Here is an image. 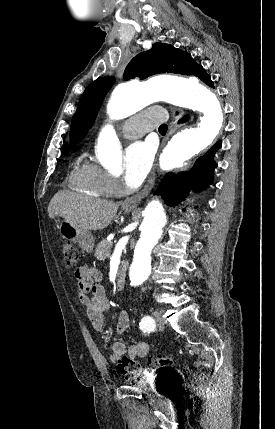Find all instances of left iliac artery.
Returning <instances> with one entry per match:
<instances>
[{
    "label": "left iliac artery",
    "mask_w": 275,
    "mask_h": 429,
    "mask_svg": "<svg viewBox=\"0 0 275 429\" xmlns=\"http://www.w3.org/2000/svg\"><path fill=\"white\" fill-rule=\"evenodd\" d=\"M140 329L143 331H151L155 328V322L150 316H145L139 323Z\"/></svg>",
    "instance_id": "left-iliac-artery-1"
}]
</instances>
